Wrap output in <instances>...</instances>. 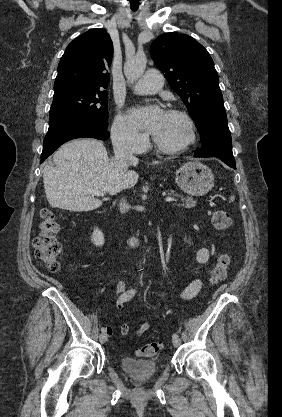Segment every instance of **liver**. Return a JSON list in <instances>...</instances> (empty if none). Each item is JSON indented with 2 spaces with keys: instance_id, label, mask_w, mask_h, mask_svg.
<instances>
[{
  "instance_id": "obj_1",
  "label": "liver",
  "mask_w": 282,
  "mask_h": 417,
  "mask_svg": "<svg viewBox=\"0 0 282 417\" xmlns=\"http://www.w3.org/2000/svg\"><path fill=\"white\" fill-rule=\"evenodd\" d=\"M53 162L55 166L43 170L45 194L52 209L94 211L102 200L91 196L93 190L116 194L132 188L139 178L138 172L109 158L104 144L95 138L69 140L56 150Z\"/></svg>"
}]
</instances>
